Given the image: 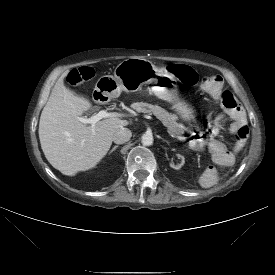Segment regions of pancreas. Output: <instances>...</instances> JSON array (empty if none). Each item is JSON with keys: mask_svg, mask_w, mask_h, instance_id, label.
I'll list each match as a JSON object with an SVG mask.
<instances>
[{"mask_svg": "<svg viewBox=\"0 0 275 275\" xmlns=\"http://www.w3.org/2000/svg\"><path fill=\"white\" fill-rule=\"evenodd\" d=\"M131 107L138 113L154 114L167 127L168 133L179 140H184V126L176 122L174 115H171L165 109L158 105H152L143 102H136Z\"/></svg>", "mask_w": 275, "mask_h": 275, "instance_id": "obj_1", "label": "pancreas"}]
</instances>
